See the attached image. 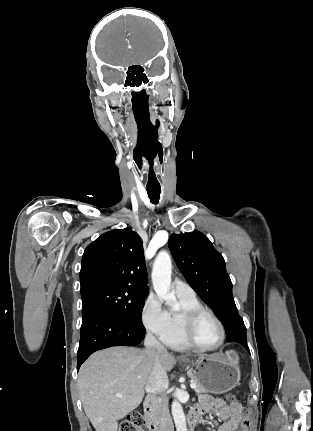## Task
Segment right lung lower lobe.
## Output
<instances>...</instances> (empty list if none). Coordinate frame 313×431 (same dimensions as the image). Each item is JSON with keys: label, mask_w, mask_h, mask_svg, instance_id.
<instances>
[{"label": "right lung lower lobe", "mask_w": 313, "mask_h": 431, "mask_svg": "<svg viewBox=\"0 0 313 431\" xmlns=\"http://www.w3.org/2000/svg\"><path fill=\"white\" fill-rule=\"evenodd\" d=\"M144 335V327H138L114 313H90L82 321L77 370L95 351L112 346H135L141 343Z\"/></svg>", "instance_id": "98d812e1"}]
</instances>
